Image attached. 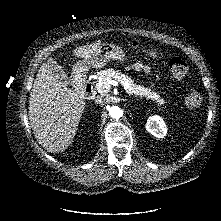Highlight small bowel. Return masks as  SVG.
Wrapping results in <instances>:
<instances>
[{"label":"small bowel","instance_id":"small-bowel-1","mask_svg":"<svg viewBox=\"0 0 221 221\" xmlns=\"http://www.w3.org/2000/svg\"><path fill=\"white\" fill-rule=\"evenodd\" d=\"M129 67L133 68L137 71H143V72L148 73V74L151 73V68L147 65H144V64L140 63V62H137V63H135V64H133Z\"/></svg>","mask_w":221,"mask_h":221}]
</instances>
